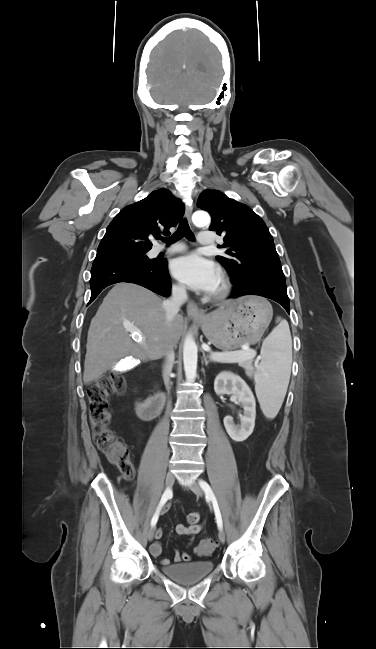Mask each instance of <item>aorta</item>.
Returning <instances> with one entry per match:
<instances>
[{
  "label": "aorta",
  "instance_id": "762f6f07",
  "mask_svg": "<svg viewBox=\"0 0 376 649\" xmlns=\"http://www.w3.org/2000/svg\"><path fill=\"white\" fill-rule=\"evenodd\" d=\"M193 223L197 227H206L210 225L211 218L207 212L198 211L192 216ZM198 348L194 338L189 335L186 337L183 345V364L186 379L189 382L194 381L197 376Z\"/></svg>",
  "mask_w": 376,
  "mask_h": 649
}]
</instances>
